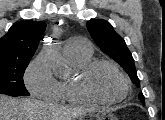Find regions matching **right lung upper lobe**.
<instances>
[{"label": "right lung upper lobe", "instance_id": "right-lung-upper-lobe-1", "mask_svg": "<svg viewBox=\"0 0 165 120\" xmlns=\"http://www.w3.org/2000/svg\"><path fill=\"white\" fill-rule=\"evenodd\" d=\"M45 28L44 22L28 20L14 23L0 38V60L31 59Z\"/></svg>", "mask_w": 165, "mask_h": 120}]
</instances>
